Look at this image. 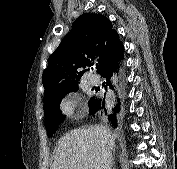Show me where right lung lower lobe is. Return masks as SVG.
I'll list each match as a JSON object with an SVG mask.
<instances>
[{
	"label": "right lung lower lobe",
	"instance_id": "right-lung-lower-lobe-1",
	"mask_svg": "<svg viewBox=\"0 0 177 169\" xmlns=\"http://www.w3.org/2000/svg\"><path fill=\"white\" fill-rule=\"evenodd\" d=\"M100 75L106 79V86L111 90V97L107 108L105 107V97H92L89 113L97 114L108 121L112 126L117 127L123 111L125 103V76L123 69V59L107 68Z\"/></svg>",
	"mask_w": 177,
	"mask_h": 169
}]
</instances>
